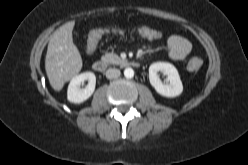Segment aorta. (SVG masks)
<instances>
[{
    "label": "aorta",
    "instance_id": "1",
    "mask_svg": "<svg viewBox=\"0 0 248 165\" xmlns=\"http://www.w3.org/2000/svg\"><path fill=\"white\" fill-rule=\"evenodd\" d=\"M124 76L126 78H132L134 76V70L132 68H126L124 70Z\"/></svg>",
    "mask_w": 248,
    "mask_h": 165
}]
</instances>
